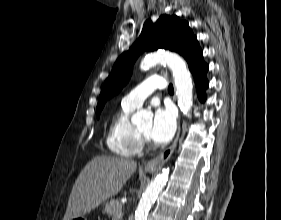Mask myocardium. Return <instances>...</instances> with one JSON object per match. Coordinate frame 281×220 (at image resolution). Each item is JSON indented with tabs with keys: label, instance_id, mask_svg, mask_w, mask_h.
I'll list each match as a JSON object with an SVG mask.
<instances>
[{
	"label": "myocardium",
	"instance_id": "myocardium-1",
	"mask_svg": "<svg viewBox=\"0 0 281 220\" xmlns=\"http://www.w3.org/2000/svg\"><path fill=\"white\" fill-rule=\"evenodd\" d=\"M137 133L142 144H149V139L146 135H144L139 129H137Z\"/></svg>",
	"mask_w": 281,
	"mask_h": 220
}]
</instances>
